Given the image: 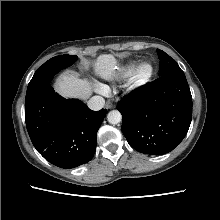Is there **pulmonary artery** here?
<instances>
[{
  "mask_svg": "<svg viewBox=\"0 0 220 220\" xmlns=\"http://www.w3.org/2000/svg\"><path fill=\"white\" fill-rule=\"evenodd\" d=\"M102 91H103V92H106V90H105V89H103Z\"/></svg>",
  "mask_w": 220,
  "mask_h": 220,
  "instance_id": "obj_1",
  "label": "pulmonary artery"
}]
</instances>
